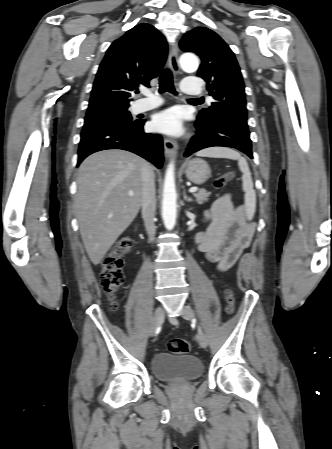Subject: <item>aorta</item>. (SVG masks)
Listing matches in <instances>:
<instances>
[{
	"mask_svg": "<svg viewBox=\"0 0 332 449\" xmlns=\"http://www.w3.org/2000/svg\"><path fill=\"white\" fill-rule=\"evenodd\" d=\"M180 66L184 71L193 73L199 67V60L193 54H183L180 57ZM174 170V163L171 162L167 167L163 186L162 218L164 226L168 230L174 228L177 216V194Z\"/></svg>",
	"mask_w": 332,
	"mask_h": 449,
	"instance_id": "762f6f07",
	"label": "aorta"
}]
</instances>
